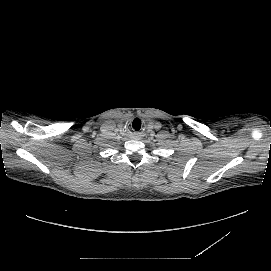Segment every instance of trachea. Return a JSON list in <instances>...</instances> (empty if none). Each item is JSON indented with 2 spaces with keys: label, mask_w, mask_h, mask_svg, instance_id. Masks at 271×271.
Instances as JSON below:
<instances>
[{
  "label": "trachea",
  "mask_w": 271,
  "mask_h": 271,
  "mask_svg": "<svg viewBox=\"0 0 271 271\" xmlns=\"http://www.w3.org/2000/svg\"><path fill=\"white\" fill-rule=\"evenodd\" d=\"M142 128H143V125H142L141 120L136 119L131 122V129L133 131H140L142 130Z\"/></svg>",
  "instance_id": "trachea-1"
}]
</instances>
